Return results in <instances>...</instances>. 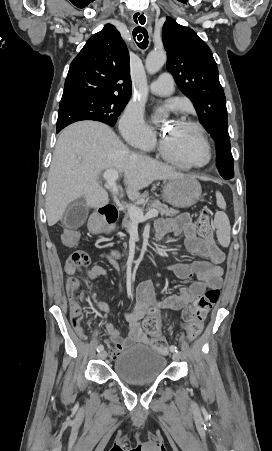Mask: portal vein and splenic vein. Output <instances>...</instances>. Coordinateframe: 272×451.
Listing matches in <instances>:
<instances>
[{
	"instance_id": "1",
	"label": "portal vein and splenic vein",
	"mask_w": 272,
	"mask_h": 451,
	"mask_svg": "<svg viewBox=\"0 0 272 451\" xmlns=\"http://www.w3.org/2000/svg\"><path fill=\"white\" fill-rule=\"evenodd\" d=\"M79 160H81V158H79ZM103 178L106 180L108 186H110L112 192H114V194H118L116 184V180L119 178L118 172H116V170H106L103 174ZM128 214L134 224H140V222H146V220H150V218H157L159 212L158 210H149V212L143 216L142 210H139L136 206H129Z\"/></svg>"
}]
</instances>
